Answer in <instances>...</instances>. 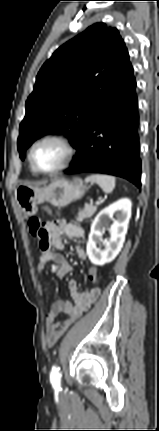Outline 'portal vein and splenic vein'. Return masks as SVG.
Returning a JSON list of instances; mask_svg holds the SVG:
<instances>
[{
  "label": "portal vein and splenic vein",
  "instance_id": "obj_1",
  "mask_svg": "<svg viewBox=\"0 0 159 431\" xmlns=\"http://www.w3.org/2000/svg\"><path fill=\"white\" fill-rule=\"evenodd\" d=\"M101 203H102V201H98V202H96V204H97V205H99V204H101Z\"/></svg>",
  "mask_w": 159,
  "mask_h": 431
}]
</instances>
